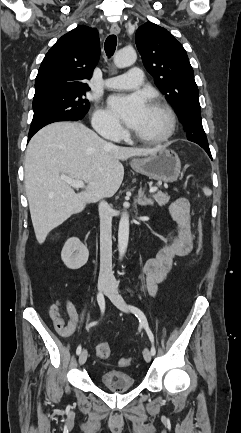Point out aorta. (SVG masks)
<instances>
[{
  "label": "aorta",
  "mask_w": 241,
  "mask_h": 433,
  "mask_svg": "<svg viewBox=\"0 0 241 433\" xmlns=\"http://www.w3.org/2000/svg\"><path fill=\"white\" fill-rule=\"evenodd\" d=\"M137 59L136 51L132 48L121 49L114 56V64L118 68L128 67L135 63ZM129 240V218L125 213L119 222L118 230V251L119 259L124 256Z\"/></svg>",
  "instance_id": "762f6f07"
}]
</instances>
